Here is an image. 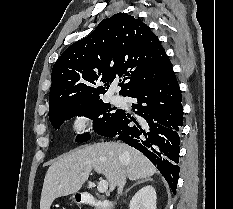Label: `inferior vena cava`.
Here are the masks:
<instances>
[{"instance_id":"602c4592","label":"inferior vena cava","mask_w":233,"mask_h":209,"mask_svg":"<svg viewBox=\"0 0 233 209\" xmlns=\"http://www.w3.org/2000/svg\"><path fill=\"white\" fill-rule=\"evenodd\" d=\"M125 183H126V176H125V174L123 173L122 175H121V178H120V180H119V182H118V194H121L122 193V190H123V187H124V185H125Z\"/></svg>"}]
</instances>
